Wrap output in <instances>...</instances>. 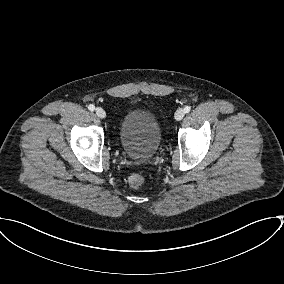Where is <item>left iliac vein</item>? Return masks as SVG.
Listing matches in <instances>:
<instances>
[{
    "mask_svg": "<svg viewBox=\"0 0 284 284\" xmlns=\"http://www.w3.org/2000/svg\"><path fill=\"white\" fill-rule=\"evenodd\" d=\"M184 115H185L184 110H183V109H178V110L176 111V113H175V119H176L177 121H180V120L183 119Z\"/></svg>",
    "mask_w": 284,
    "mask_h": 284,
    "instance_id": "obj_1",
    "label": "left iliac vein"
}]
</instances>
